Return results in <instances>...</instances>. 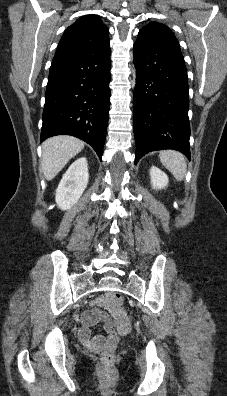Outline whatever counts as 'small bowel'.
I'll list each match as a JSON object with an SVG mask.
<instances>
[{
	"instance_id": "1",
	"label": "small bowel",
	"mask_w": 227,
	"mask_h": 396,
	"mask_svg": "<svg viewBox=\"0 0 227 396\" xmlns=\"http://www.w3.org/2000/svg\"><path fill=\"white\" fill-rule=\"evenodd\" d=\"M91 306V309L82 314L83 326L79 330V338L84 345L101 349L107 345L115 344L121 336L130 332L129 318L123 309L114 303L113 296L110 293L98 297ZM99 321L105 323L107 337L102 335L91 336L90 326Z\"/></svg>"
}]
</instances>
